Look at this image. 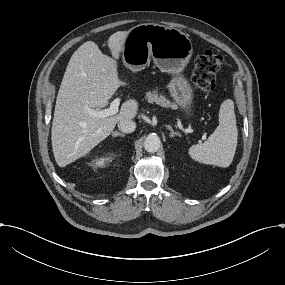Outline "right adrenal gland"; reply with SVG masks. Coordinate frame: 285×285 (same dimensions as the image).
<instances>
[{
    "label": "right adrenal gland",
    "mask_w": 285,
    "mask_h": 285,
    "mask_svg": "<svg viewBox=\"0 0 285 285\" xmlns=\"http://www.w3.org/2000/svg\"><path fill=\"white\" fill-rule=\"evenodd\" d=\"M118 136L125 137L126 134H122V133H119L117 131L112 132V138H115V137H118Z\"/></svg>",
    "instance_id": "2a0ac1e0"
}]
</instances>
